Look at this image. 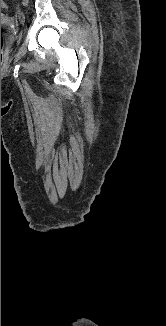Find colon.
<instances>
[{
	"instance_id": "colon-1",
	"label": "colon",
	"mask_w": 166,
	"mask_h": 326,
	"mask_svg": "<svg viewBox=\"0 0 166 326\" xmlns=\"http://www.w3.org/2000/svg\"><path fill=\"white\" fill-rule=\"evenodd\" d=\"M5 6H6V4L4 3V1L1 0V8L5 7ZM3 45H4V37H3V35H1V50L3 48ZM1 62H2V54H1Z\"/></svg>"
}]
</instances>
